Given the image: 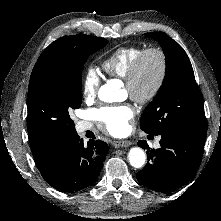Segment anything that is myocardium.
Listing matches in <instances>:
<instances>
[{
  "mask_svg": "<svg viewBox=\"0 0 221 221\" xmlns=\"http://www.w3.org/2000/svg\"><path fill=\"white\" fill-rule=\"evenodd\" d=\"M156 56L159 62V73L153 86L146 92L139 90V78L143 64L147 57ZM168 75V58L160 47H149L143 50L129 69L124 81L130 98L138 104H148L153 101L162 90Z\"/></svg>",
  "mask_w": 221,
  "mask_h": 221,
  "instance_id": "f54148a6",
  "label": "myocardium"
}]
</instances>
